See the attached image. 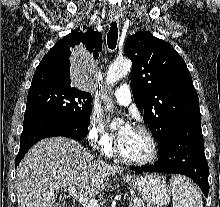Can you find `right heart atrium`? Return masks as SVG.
<instances>
[{"mask_svg":"<svg viewBox=\"0 0 220 207\" xmlns=\"http://www.w3.org/2000/svg\"><path fill=\"white\" fill-rule=\"evenodd\" d=\"M88 137L91 145L103 152L109 153L113 148V139L107 133L98 113H92L88 123Z\"/></svg>","mask_w":220,"mask_h":207,"instance_id":"1","label":"right heart atrium"}]
</instances>
